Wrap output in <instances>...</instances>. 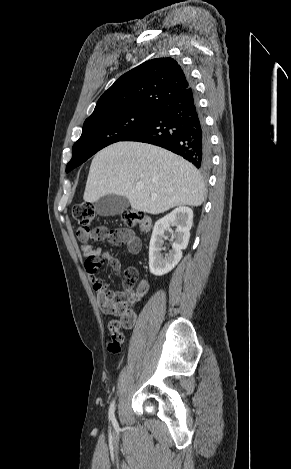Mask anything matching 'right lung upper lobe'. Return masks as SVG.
Here are the masks:
<instances>
[{
  "label": "right lung upper lobe",
  "mask_w": 291,
  "mask_h": 469,
  "mask_svg": "<svg viewBox=\"0 0 291 469\" xmlns=\"http://www.w3.org/2000/svg\"><path fill=\"white\" fill-rule=\"evenodd\" d=\"M190 85L187 74L176 60L152 59L122 75L99 98L87 119L131 109L154 110L162 101Z\"/></svg>",
  "instance_id": "right-lung-upper-lobe-1"
}]
</instances>
